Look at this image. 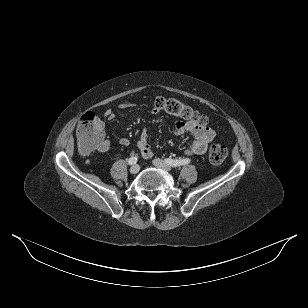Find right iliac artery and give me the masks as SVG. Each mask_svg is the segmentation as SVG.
Returning a JSON list of instances; mask_svg holds the SVG:
<instances>
[{
  "label": "right iliac artery",
  "mask_w": 308,
  "mask_h": 308,
  "mask_svg": "<svg viewBox=\"0 0 308 308\" xmlns=\"http://www.w3.org/2000/svg\"><path fill=\"white\" fill-rule=\"evenodd\" d=\"M138 161V158L136 156L129 158L128 164L133 165Z\"/></svg>",
  "instance_id": "obj_1"
}]
</instances>
